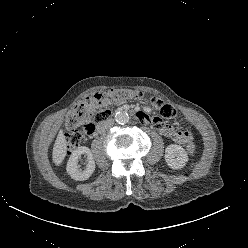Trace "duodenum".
<instances>
[{"mask_svg": "<svg viewBox=\"0 0 248 248\" xmlns=\"http://www.w3.org/2000/svg\"><path fill=\"white\" fill-rule=\"evenodd\" d=\"M123 110H128L126 108H123ZM136 115L140 118L143 119L144 114L142 112H137Z\"/></svg>", "mask_w": 248, "mask_h": 248, "instance_id": "duodenum-1", "label": "duodenum"}]
</instances>
